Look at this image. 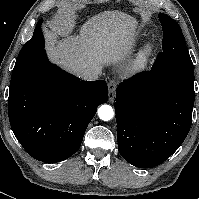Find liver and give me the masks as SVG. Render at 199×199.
Wrapping results in <instances>:
<instances>
[{"instance_id": "6515ba94", "label": "liver", "mask_w": 199, "mask_h": 199, "mask_svg": "<svg viewBox=\"0 0 199 199\" xmlns=\"http://www.w3.org/2000/svg\"><path fill=\"white\" fill-rule=\"evenodd\" d=\"M136 20L121 11H104L85 22L79 35L49 38L52 61L79 75L88 67H102L125 59L132 50Z\"/></svg>"}]
</instances>
